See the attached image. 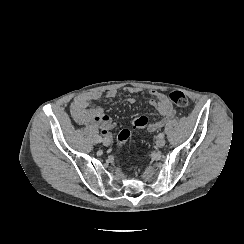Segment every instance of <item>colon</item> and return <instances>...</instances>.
Instances as JSON below:
<instances>
[{"instance_id":"obj_1","label":"colon","mask_w":244,"mask_h":244,"mask_svg":"<svg viewBox=\"0 0 244 244\" xmlns=\"http://www.w3.org/2000/svg\"><path fill=\"white\" fill-rule=\"evenodd\" d=\"M169 99L173 103V105L177 107H187L190 103L189 98L185 93L182 91H173L169 94ZM149 122L148 117L141 116L134 122V127L136 128H144ZM129 137V130L128 129H122L117 137V147L121 149L125 143L127 142V139Z\"/></svg>"}]
</instances>
